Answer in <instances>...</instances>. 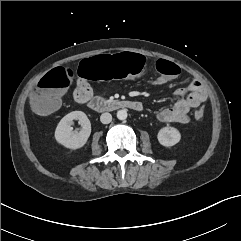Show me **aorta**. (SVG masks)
Listing matches in <instances>:
<instances>
[{"label": "aorta", "mask_w": 241, "mask_h": 241, "mask_svg": "<svg viewBox=\"0 0 241 241\" xmlns=\"http://www.w3.org/2000/svg\"><path fill=\"white\" fill-rule=\"evenodd\" d=\"M128 114L125 109H121L117 111V118L119 120H125L127 118Z\"/></svg>", "instance_id": "aorta-1"}]
</instances>
